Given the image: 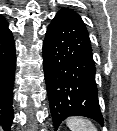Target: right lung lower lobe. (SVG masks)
Returning a JSON list of instances; mask_svg holds the SVG:
<instances>
[{
    "label": "right lung lower lobe",
    "instance_id": "right-lung-lower-lobe-1",
    "mask_svg": "<svg viewBox=\"0 0 117 131\" xmlns=\"http://www.w3.org/2000/svg\"><path fill=\"white\" fill-rule=\"evenodd\" d=\"M15 42L6 26L0 30V124L10 131L13 120V83L15 76Z\"/></svg>",
    "mask_w": 117,
    "mask_h": 131
}]
</instances>
